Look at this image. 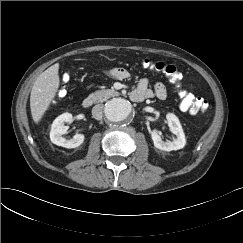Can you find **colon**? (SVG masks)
Returning a JSON list of instances; mask_svg holds the SVG:
<instances>
[{
  "instance_id": "obj_1",
  "label": "colon",
  "mask_w": 243,
  "mask_h": 243,
  "mask_svg": "<svg viewBox=\"0 0 243 243\" xmlns=\"http://www.w3.org/2000/svg\"><path fill=\"white\" fill-rule=\"evenodd\" d=\"M141 65L144 68L154 70L164 74L170 82L174 83L177 87L180 86L182 74L175 65L166 64L164 62H153L148 59H143L141 61ZM68 80H69V74L66 73L63 76V81L67 82ZM64 93L65 91L62 88L59 91L58 95L61 97L64 95ZM180 96L182 99V104L185 107L190 108L191 111L194 113L204 112L208 107L207 101L201 97L194 98L191 95L186 94L184 91H180Z\"/></svg>"
}]
</instances>
